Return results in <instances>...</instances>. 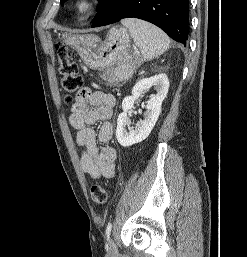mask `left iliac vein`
<instances>
[{"instance_id": "1", "label": "left iliac vein", "mask_w": 247, "mask_h": 257, "mask_svg": "<svg viewBox=\"0 0 247 257\" xmlns=\"http://www.w3.org/2000/svg\"><path fill=\"white\" fill-rule=\"evenodd\" d=\"M108 251L109 254L113 256L118 253L117 246L111 237L108 238Z\"/></svg>"}]
</instances>
